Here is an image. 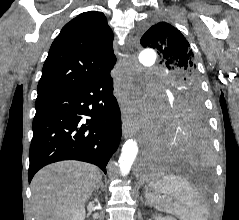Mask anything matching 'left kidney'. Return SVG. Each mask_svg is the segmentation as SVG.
Wrapping results in <instances>:
<instances>
[{
  "label": "left kidney",
  "mask_w": 239,
  "mask_h": 220,
  "mask_svg": "<svg viewBox=\"0 0 239 220\" xmlns=\"http://www.w3.org/2000/svg\"><path fill=\"white\" fill-rule=\"evenodd\" d=\"M155 220H176V219L170 216L167 217L156 216Z\"/></svg>",
  "instance_id": "left-kidney-1"
}]
</instances>
